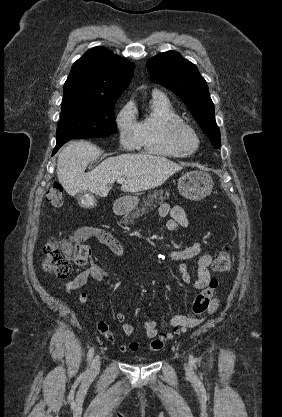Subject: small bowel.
I'll return each mask as SVG.
<instances>
[{
	"mask_svg": "<svg viewBox=\"0 0 282 417\" xmlns=\"http://www.w3.org/2000/svg\"><path fill=\"white\" fill-rule=\"evenodd\" d=\"M159 215L161 217L170 216L166 223V228L171 233H177L181 228L187 227L189 224L188 217L184 209L179 205H171L163 203L159 207ZM76 241L83 242L88 239H96L101 244L105 245L115 256L123 257L125 255L124 244L114 237L109 231L96 226H81L74 232L72 236ZM201 244L194 242L190 246L183 249H165L163 255L174 262H178V273L181 280L186 284H192L196 289L202 290L207 287L211 280L210 264L213 260L209 254H201ZM195 259L196 276L193 277L189 271L187 262ZM89 280L102 283L105 280L104 272L97 266H90L81 273L77 274L73 279L68 281L65 285V293L72 294L74 291L82 289ZM79 302L85 305L88 302V295L86 292H81L79 295ZM219 300L213 299L208 312L213 313L217 310ZM116 319L122 324V331L127 336L135 334V326L126 322V316L123 312L116 314ZM186 319V315L176 314L172 315L168 324L173 328V332H160L158 330L157 322L154 319H149L143 322L144 335L152 340H171L179 332L197 326L200 318L194 317L193 321L187 320L186 326L180 325V320ZM96 327L98 331L105 336L109 342H114L115 336L110 331L109 326L102 320H97ZM141 349V343L138 340H130L120 344L119 350L121 353H136Z\"/></svg>",
	"mask_w": 282,
	"mask_h": 417,
	"instance_id": "1",
	"label": "small bowel"
}]
</instances>
